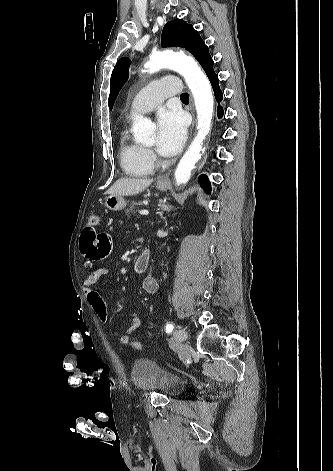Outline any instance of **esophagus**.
<instances>
[{
  "instance_id": "34e87169",
  "label": "esophagus",
  "mask_w": 333,
  "mask_h": 471,
  "mask_svg": "<svg viewBox=\"0 0 333 471\" xmlns=\"http://www.w3.org/2000/svg\"><path fill=\"white\" fill-rule=\"evenodd\" d=\"M190 112L193 118L192 127H191V130H192L194 126V119H195L194 105H193L192 99L190 100ZM168 181H169V174L163 175L158 179V182H161V183H166Z\"/></svg>"
}]
</instances>
